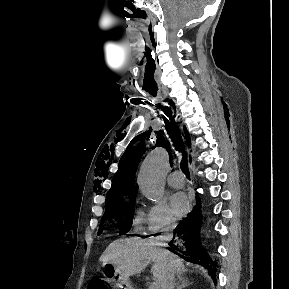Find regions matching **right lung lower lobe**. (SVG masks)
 <instances>
[{"mask_svg": "<svg viewBox=\"0 0 289 289\" xmlns=\"http://www.w3.org/2000/svg\"><path fill=\"white\" fill-rule=\"evenodd\" d=\"M201 220L199 203H197L193 212L176 227L175 238L169 243L172 248L170 250L188 262L203 265L208 269L213 280L216 281V274L212 270L216 269L215 263L209 259L208 254H206L199 241Z\"/></svg>", "mask_w": 289, "mask_h": 289, "instance_id": "right-lung-lower-lobe-1", "label": "right lung lower lobe"}]
</instances>
